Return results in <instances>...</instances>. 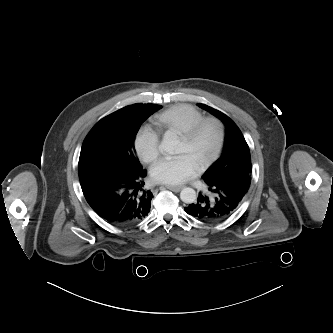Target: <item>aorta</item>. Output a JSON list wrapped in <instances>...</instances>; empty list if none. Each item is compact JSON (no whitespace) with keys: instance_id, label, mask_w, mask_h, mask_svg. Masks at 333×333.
<instances>
[{"instance_id":"obj_1","label":"aorta","mask_w":333,"mask_h":333,"mask_svg":"<svg viewBox=\"0 0 333 333\" xmlns=\"http://www.w3.org/2000/svg\"><path fill=\"white\" fill-rule=\"evenodd\" d=\"M180 142L177 138L171 136H164L159 149L168 154L179 153ZM180 199L187 204H192L196 201V192L193 188L186 187L180 192Z\"/></svg>"}]
</instances>
